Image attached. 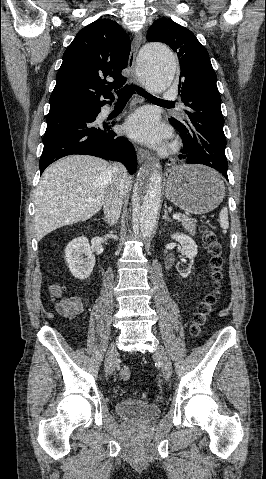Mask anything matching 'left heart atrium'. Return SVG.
Returning <instances> with one entry per match:
<instances>
[{"mask_svg":"<svg viewBox=\"0 0 266 479\" xmlns=\"http://www.w3.org/2000/svg\"><path fill=\"white\" fill-rule=\"evenodd\" d=\"M125 130L130 137L148 143H158L166 136V130L149 110H140L130 116L125 123Z\"/></svg>","mask_w":266,"mask_h":479,"instance_id":"left-heart-atrium-1","label":"left heart atrium"}]
</instances>
